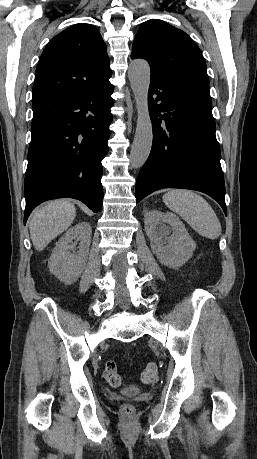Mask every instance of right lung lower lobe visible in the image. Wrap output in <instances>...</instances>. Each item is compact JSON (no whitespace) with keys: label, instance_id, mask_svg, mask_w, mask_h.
<instances>
[{"label":"right lung lower lobe","instance_id":"obj_1","mask_svg":"<svg viewBox=\"0 0 257 459\" xmlns=\"http://www.w3.org/2000/svg\"><path fill=\"white\" fill-rule=\"evenodd\" d=\"M113 86L33 108L24 192V224L40 203L75 198L99 212L101 160L108 152Z\"/></svg>","mask_w":257,"mask_h":459}]
</instances>
